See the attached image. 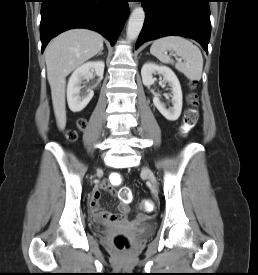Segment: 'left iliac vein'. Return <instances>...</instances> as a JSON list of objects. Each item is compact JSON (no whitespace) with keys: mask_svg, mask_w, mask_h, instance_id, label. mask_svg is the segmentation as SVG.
<instances>
[{"mask_svg":"<svg viewBox=\"0 0 258 275\" xmlns=\"http://www.w3.org/2000/svg\"><path fill=\"white\" fill-rule=\"evenodd\" d=\"M143 172L147 175L149 181L152 183L154 190L157 191V182L153 173L148 168H144Z\"/></svg>","mask_w":258,"mask_h":275,"instance_id":"obj_1","label":"left iliac vein"}]
</instances>
